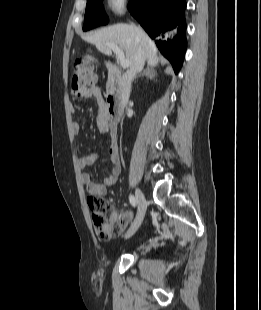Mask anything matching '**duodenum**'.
Returning a JSON list of instances; mask_svg holds the SVG:
<instances>
[{
  "instance_id": "410a0bca",
  "label": "duodenum",
  "mask_w": 261,
  "mask_h": 310,
  "mask_svg": "<svg viewBox=\"0 0 261 310\" xmlns=\"http://www.w3.org/2000/svg\"><path fill=\"white\" fill-rule=\"evenodd\" d=\"M107 68L109 73V81L105 106L110 128L113 132H115L121 111L122 76L116 65L108 63Z\"/></svg>"
}]
</instances>
